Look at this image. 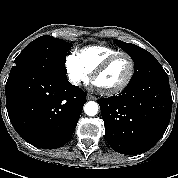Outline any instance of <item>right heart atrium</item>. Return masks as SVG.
<instances>
[{"label": "right heart atrium", "mask_w": 178, "mask_h": 178, "mask_svg": "<svg viewBox=\"0 0 178 178\" xmlns=\"http://www.w3.org/2000/svg\"><path fill=\"white\" fill-rule=\"evenodd\" d=\"M65 65L68 78L73 85L80 86L89 81L90 73L84 68L77 54L69 55Z\"/></svg>", "instance_id": "d8ad5b80"}]
</instances>
